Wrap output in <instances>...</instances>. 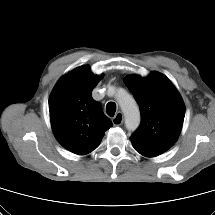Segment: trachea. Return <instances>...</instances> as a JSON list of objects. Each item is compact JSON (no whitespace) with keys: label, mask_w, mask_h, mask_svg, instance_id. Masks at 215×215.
Listing matches in <instances>:
<instances>
[{"label":"trachea","mask_w":215,"mask_h":215,"mask_svg":"<svg viewBox=\"0 0 215 215\" xmlns=\"http://www.w3.org/2000/svg\"><path fill=\"white\" fill-rule=\"evenodd\" d=\"M115 111H116V104H115L114 102H109V103L106 105V113H107L109 116H114Z\"/></svg>","instance_id":"1"}]
</instances>
